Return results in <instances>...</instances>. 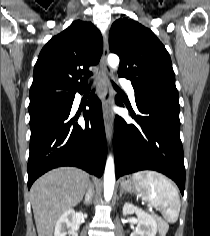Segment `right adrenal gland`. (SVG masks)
I'll use <instances>...</instances> for the list:
<instances>
[{"label": "right adrenal gland", "instance_id": "right-adrenal-gland-1", "mask_svg": "<svg viewBox=\"0 0 210 236\" xmlns=\"http://www.w3.org/2000/svg\"><path fill=\"white\" fill-rule=\"evenodd\" d=\"M89 188H90V191H91V193L93 195L94 194V186H93V184L90 183ZM85 203L89 204V203H91V200H89V201L85 200Z\"/></svg>", "mask_w": 210, "mask_h": 236}]
</instances>
